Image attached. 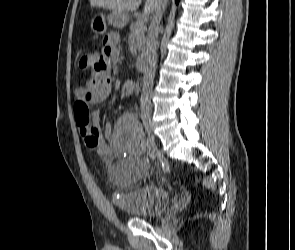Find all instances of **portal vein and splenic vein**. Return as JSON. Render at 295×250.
I'll list each match as a JSON object with an SVG mask.
<instances>
[{
  "label": "portal vein and splenic vein",
  "mask_w": 295,
  "mask_h": 250,
  "mask_svg": "<svg viewBox=\"0 0 295 250\" xmlns=\"http://www.w3.org/2000/svg\"><path fill=\"white\" fill-rule=\"evenodd\" d=\"M149 14H150V12H149V10H144V13L142 14V16H141V20L143 21V22H146L147 21V19H148V16H149Z\"/></svg>",
  "instance_id": "portal-vein-and-splenic-vein-1"
}]
</instances>
